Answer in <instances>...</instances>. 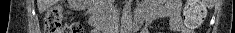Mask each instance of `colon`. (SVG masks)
<instances>
[{"mask_svg":"<svg viewBox=\"0 0 235 33\" xmlns=\"http://www.w3.org/2000/svg\"><path fill=\"white\" fill-rule=\"evenodd\" d=\"M205 8L200 0H187L183 9L185 25L190 29L197 28L203 21ZM63 8L54 6L51 8L44 19L45 33H82L83 29L79 23L64 24Z\"/></svg>","mask_w":235,"mask_h":33,"instance_id":"colon-1","label":"colon"}]
</instances>
